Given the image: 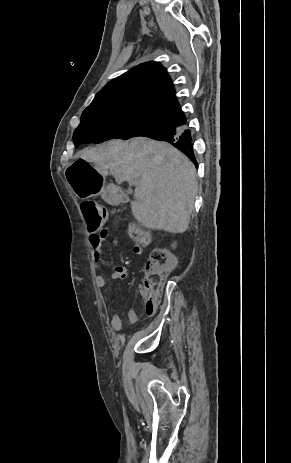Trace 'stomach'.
<instances>
[{
    "label": "stomach",
    "mask_w": 291,
    "mask_h": 463,
    "mask_svg": "<svg viewBox=\"0 0 291 463\" xmlns=\"http://www.w3.org/2000/svg\"><path fill=\"white\" fill-rule=\"evenodd\" d=\"M65 180L70 183L74 193L80 199H86L98 194L106 202L113 203L115 195L113 189L105 187L103 176L90 163L80 158L66 170Z\"/></svg>",
    "instance_id": "0dacf381"
}]
</instances>
